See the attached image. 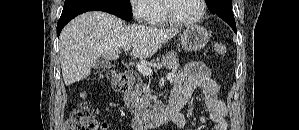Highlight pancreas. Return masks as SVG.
<instances>
[{"instance_id": "1", "label": "pancreas", "mask_w": 299, "mask_h": 130, "mask_svg": "<svg viewBox=\"0 0 299 130\" xmlns=\"http://www.w3.org/2000/svg\"><path fill=\"white\" fill-rule=\"evenodd\" d=\"M161 63L165 68L174 71L179 68V60L174 51L168 52L166 55L162 56ZM125 102L131 113L136 117H142L151 112L153 107L152 103H155V98L152 95L149 85L143 84L142 81H138L137 84L126 92Z\"/></svg>"}]
</instances>
